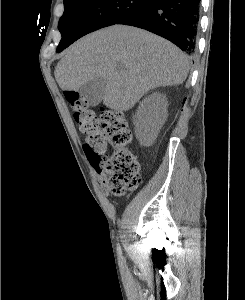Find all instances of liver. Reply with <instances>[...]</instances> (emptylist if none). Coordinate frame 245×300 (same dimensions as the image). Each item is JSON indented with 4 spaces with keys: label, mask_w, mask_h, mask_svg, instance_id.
I'll use <instances>...</instances> for the list:
<instances>
[{
    "label": "liver",
    "mask_w": 245,
    "mask_h": 300,
    "mask_svg": "<svg viewBox=\"0 0 245 300\" xmlns=\"http://www.w3.org/2000/svg\"><path fill=\"white\" fill-rule=\"evenodd\" d=\"M188 72L186 55L171 42L143 29L113 25L70 46L55 68V79L62 90L78 91L103 78V103L127 111L150 90L182 84Z\"/></svg>",
    "instance_id": "6515ba94"
}]
</instances>
